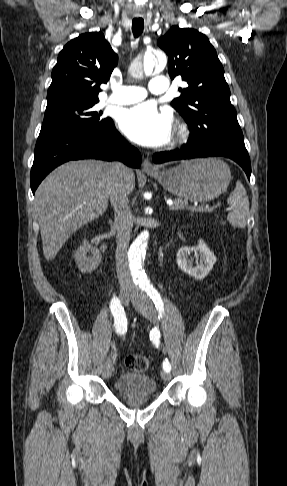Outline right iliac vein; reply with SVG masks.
<instances>
[{"label":"right iliac vein","instance_id":"1","mask_svg":"<svg viewBox=\"0 0 287 486\" xmlns=\"http://www.w3.org/2000/svg\"><path fill=\"white\" fill-rule=\"evenodd\" d=\"M131 296H132V293L128 290H122L120 292V299L125 305H127L129 303ZM112 370H113V368H112L111 359L107 358L105 363H104V366H103L102 376L106 379L110 378L111 375H112Z\"/></svg>","mask_w":287,"mask_h":486}]
</instances>
